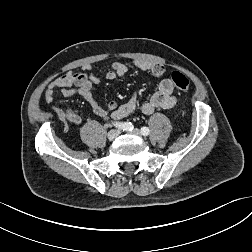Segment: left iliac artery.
<instances>
[{"label":"left iliac artery","instance_id":"left-iliac-artery-1","mask_svg":"<svg viewBox=\"0 0 252 252\" xmlns=\"http://www.w3.org/2000/svg\"><path fill=\"white\" fill-rule=\"evenodd\" d=\"M141 134L144 136H148L150 134V130L148 127H142L141 128Z\"/></svg>","mask_w":252,"mask_h":252}]
</instances>
